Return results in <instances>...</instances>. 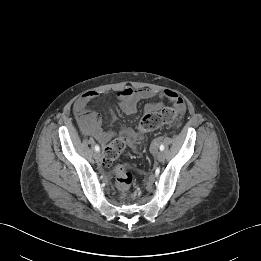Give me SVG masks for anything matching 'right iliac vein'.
Listing matches in <instances>:
<instances>
[{
  "instance_id": "1",
  "label": "right iliac vein",
  "mask_w": 261,
  "mask_h": 261,
  "mask_svg": "<svg viewBox=\"0 0 261 261\" xmlns=\"http://www.w3.org/2000/svg\"><path fill=\"white\" fill-rule=\"evenodd\" d=\"M94 158H95L96 160H99V159L101 158V154H100L99 151H97V152L94 153Z\"/></svg>"
}]
</instances>
